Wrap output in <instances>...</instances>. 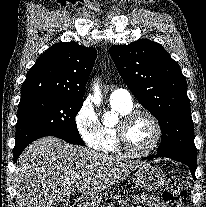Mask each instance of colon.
<instances>
[{"instance_id": "colon-1", "label": "colon", "mask_w": 206, "mask_h": 207, "mask_svg": "<svg viewBox=\"0 0 206 207\" xmlns=\"http://www.w3.org/2000/svg\"><path fill=\"white\" fill-rule=\"evenodd\" d=\"M186 190L180 177H171L162 193V198L168 207H185ZM62 207H76L75 202L68 203Z\"/></svg>"}]
</instances>
